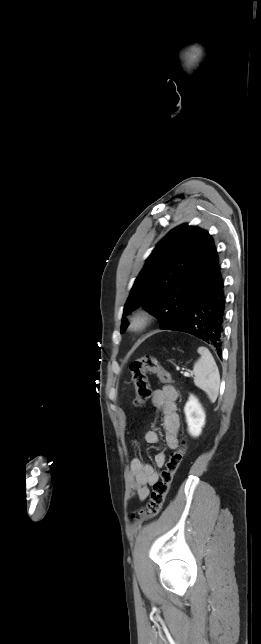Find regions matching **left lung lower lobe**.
Instances as JSON below:
<instances>
[{
    "instance_id": "1",
    "label": "left lung lower lobe",
    "mask_w": 261,
    "mask_h": 644,
    "mask_svg": "<svg viewBox=\"0 0 261 644\" xmlns=\"http://www.w3.org/2000/svg\"><path fill=\"white\" fill-rule=\"evenodd\" d=\"M226 296L221 268L183 315L164 330L189 333L212 345L221 356Z\"/></svg>"
}]
</instances>
